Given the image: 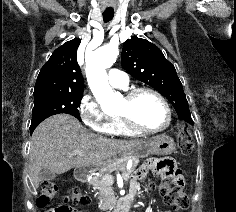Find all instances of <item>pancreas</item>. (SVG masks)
Listing matches in <instances>:
<instances>
[{
	"mask_svg": "<svg viewBox=\"0 0 236 212\" xmlns=\"http://www.w3.org/2000/svg\"><path fill=\"white\" fill-rule=\"evenodd\" d=\"M127 162V158H122L119 162L113 163L107 169L102 170L99 176L91 178L90 184L94 187V189L98 190V207L100 210H107L112 206L109 198L113 195V192L110 189V183L104 180V176L110 175L112 171H121L122 176H127L125 178V180L127 181L131 177V174L136 168V166L138 165L139 160L133 159L131 170L126 169Z\"/></svg>",
	"mask_w": 236,
	"mask_h": 212,
	"instance_id": "cf45deb5",
	"label": "pancreas"
}]
</instances>
